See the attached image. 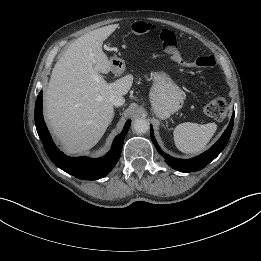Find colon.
I'll use <instances>...</instances> for the list:
<instances>
[{"label":"colon","instance_id":"obj_1","mask_svg":"<svg viewBox=\"0 0 261 261\" xmlns=\"http://www.w3.org/2000/svg\"><path fill=\"white\" fill-rule=\"evenodd\" d=\"M154 27L151 24L144 22H137L133 24L132 30L136 34H147L151 32ZM160 39L166 52L171 56L173 61L177 64L188 68H211L215 65V59L210 54H201L193 61H186L181 56L177 48V40L175 35L169 30H162ZM205 114L215 120H223L227 116V104L221 98H216L209 101L205 108Z\"/></svg>","mask_w":261,"mask_h":261}]
</instances>
